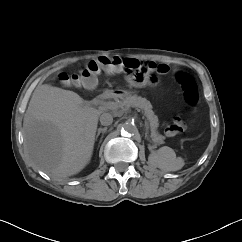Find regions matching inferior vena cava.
I'll list each match as a JSON object with an SVG mask.
<instances>
[{"mask_svg": "<svg viewBox=\"0 0 242 242\" xmlns=\"http://www.w3.org/2000/svg\"><path fill=\"white\" fill-rule=\"evenodd\" d=\"M113 122V116L110 113H102L100 116V123L104 126L111 125Z\"/></svg>", "mask_w": 242, "mask_h": 242, "instance_id": "inferior-vena-cava-1", "label": "inferior vena cava"}]
</instances>
